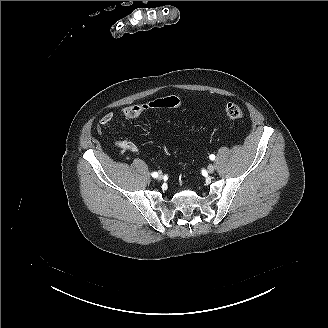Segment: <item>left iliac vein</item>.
<instances>
[{
  "label": "left iliac vein",
  "instance_id": "obj_1",
  "mask_svg": "<svg viewBox=\"0 0 328 328\" xmlns=\"http://www.w3.org/2000/svg\"><path fill=\"white\" fill-rule=\"evenodd\" d=\"M207 171H208L209 173H213V172L215 171V167H214V165H212V164L208 165V167H207Z\"/></svg>",
  "mask_w": 328,
  "mask_h": 328
}]
</instances>
